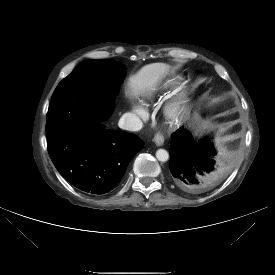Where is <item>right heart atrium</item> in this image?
<instances>
[{
  "label": "right heart atrium",
  "instance_id": "obj_1",
  "mask_svg": "<svg viewBox=\"0 0 275 275\" xmlns=\"http://www.w3.org/2000/svg\"><path fill=\"white\" fill-rule=\"evenodd\" d=\"M131 111L138 120L144 119L146 117V111L139 105L132 104Z\"/></svg>",
  "mask_w": 275,
  "mask_h": 275
}]
</instances>
